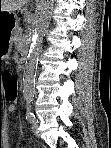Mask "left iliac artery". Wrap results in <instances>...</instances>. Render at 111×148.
<instances>
[{"mask_svg": "<svg viewBox=\"0 0 111 148\" xmlns=\"http://www.w3.org/2000/svg\"><path fill=\"white\" fill-rule=\"evenodd\" d=\"M26 119L30 122L33 123L35 121V115L31 111V105L28 103L26 105Z\"/></svg>", "mask_w": 111, "mask_h": 148, "instance_id": "44dca946", "label": "left iliac artery"}]
</instances>
